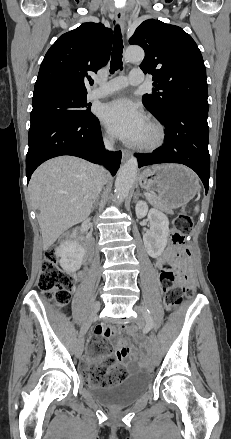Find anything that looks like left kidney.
<instances>
[{
  "instance_id": "1",
  "label": "left kidney",
  "mask_w": 231,
  "mask_h": 439,
  "mask_svg": "<svg viewBox=\"0 0 231 439\" xmlns=\"http://www.w3.org/2000/svg\"><path fill=\"white\" fill-rule=\"evenodd\" d=\"M135 211L138 218H143L148 214L150 230L143 235V242L149 256L157 258L163 253L168 242L169 220L157 209L149 210L144 201L136 203Z\"/></svg>"
}]
</instances>
